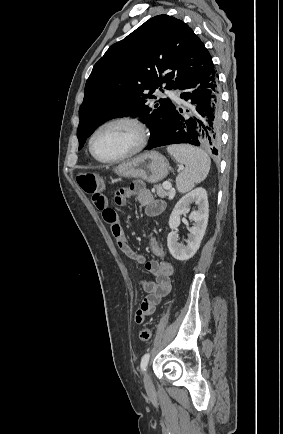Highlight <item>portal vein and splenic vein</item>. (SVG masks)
Here are the masks:
<instances>
[{"label":"portal vein and splenic vein","mask_w":283,"mask_h":434,"mask_svg":"<svg viewBox=\"0 0 283 434\" xmlns=\"http://www.w3.org/2000/svg\"><path fill=\"white\" fill-rule=\"evenodd\" d=\"M163 186H164V188H166V189H171V187H172V185H171V183H170L169 181H165V182L163 183Z\"/></svg>","instance_id":"1"}]
</instances>
